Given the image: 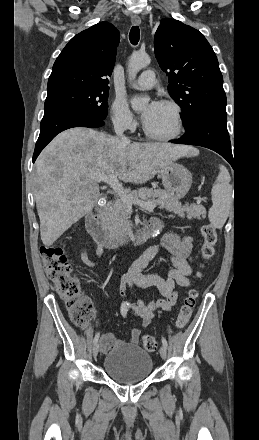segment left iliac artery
Listing matches in <instances>:
<instances>
[{
    "instance_id": "1",
    "label": "left iliac artery",
    "mask_w": 259,
    "mask_h": 440,
    "mask_svg": "<svg viewBox=\"0 0 259 440\" xmlns=\"http://www.w3.org/2000/svg\"><path fill=\"white\" fill-rule=\"evenodd\" d=\"M162 344L164 347H166V348L168 347L167 341L164 337H162Z\"/></svg>"
}]
</instances>
